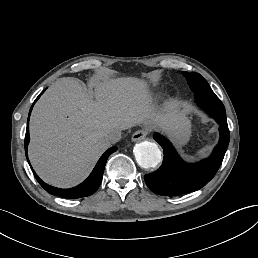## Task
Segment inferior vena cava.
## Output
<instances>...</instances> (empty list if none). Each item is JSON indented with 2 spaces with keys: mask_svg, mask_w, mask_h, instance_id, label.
<instances>
[{
  "mask_svg": "<svg viewBox=\"0 0 258 258\" xmlns=\"http://www.w3.org/2000/svg\"><path fill=\"white\" fill-rule=\"evenodd\" d=\"M106 139L110 143H116L121 139V132L120 131H110L107 133Z\"/></svg>",
  "mask_w": 258,
  "mask_h": 258,
  "instance_id": "obj_1",
  "label": "inferior vena cava"
}]
</instances>
